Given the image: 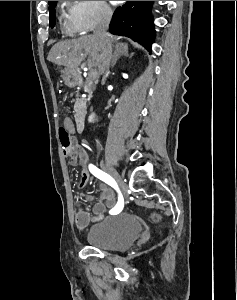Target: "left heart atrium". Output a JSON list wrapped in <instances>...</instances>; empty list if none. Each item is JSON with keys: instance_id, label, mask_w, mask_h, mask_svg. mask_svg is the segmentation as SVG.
<instances>
[{"instance_id": "39dd6f15", "label": "left heart atrium", "mask_w": 237, "mask_h": 300, "mask_svg": "<svg viewBox=\"0 0 237 300\" xmlns=\"http://www.w3.org/2000/svg\"><path fill=\"white\" fill-rule=\"evenodd\" d=\"M113 3H117V2H120V1H112Z\"/></svg>"}]
</instances>
